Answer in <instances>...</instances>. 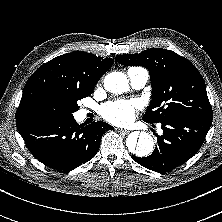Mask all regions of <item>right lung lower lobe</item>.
I'll return each mask as SVG.
<instances>
[{
  "label": "right lung lower lobe",
  "mask_w": 222,
  "mask_h": 222,
  "mask_svg": "<svg viewBox=\"0 0 222 222\" xmlns=\"http://www.w3.org/2000/svg\"><path fill=\"white\" fill-rule=\"evenodd\" d=\"M27 148L46 166L71 171L91 160L105 131L113 129L102 121L78 125L72 119L35 115L16 119Z\"/></svg>",
  "instance_id": "98d812e1"
}]
</instances>
